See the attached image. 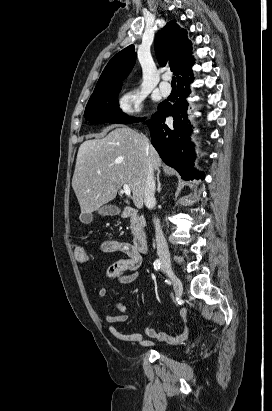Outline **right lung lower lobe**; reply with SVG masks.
Returning a JSON list of instances; mask_svg holds the SVG:
<instances>
[{
	"mask_svg": "<svg viewBox=\"0 0 272 411\" xmlns=\"http://www.w3.org/2000/svg\"><path fill=\"white\" fill-rule=\"evenodd\" d=\"M192 81L178 85L176 103L171 106L167 102H162L156 114L147 121L152 145L162 160L176 169L185 180L204 179L203 173L197 172L193 167L195 158L189 142L191 127L187 117L188 103L186 98L191 93L189 84ZM167 116L174 118L172 124L165 123Z\"/></svg>",
	"mask_w": 272,
	"mask_h": 411,
	"instance_id": "98d812e1",
	"label": "right lung lower lobe"
}]
</instances>
